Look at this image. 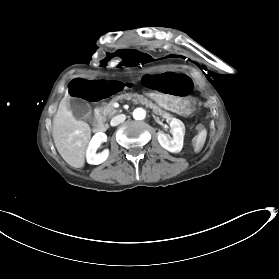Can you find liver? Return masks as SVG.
Wrapping results in <instances>:
<instances>
[{
	"instance_id": "6515ba94",
	"label": "liver",
	"mask_w": 279,
	"mask_h": 279,
	"mask_svg": "<svg viewBox=\"0 0 279 279\" xmlns=\"http://www.w3.org/2000/svg\"><path fill=\"white\" fill-rule=\"evenodd\" d=\"M68 96L60 101L57 113L53 119L55 146L61 157L76 168L84 166V156L87 144L91 138L90 126L81 120H76L68 108Z\"/></svg>"
}]
</instances>
